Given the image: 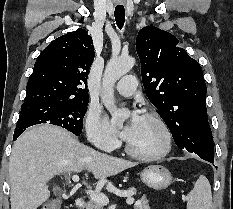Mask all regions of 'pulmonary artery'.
I'll list each match as a JSON object with an SVG mask.
<instances>
[{
	"label": "pulmonary artery",
	"mask_w": 233,
	"mask_h": 209,
	"mask_svg": "<svg viewBox=\"0 0 233 209\" xmlns=\"http://www.w3.org/2000/svg\"><path fill=\"white\" fill-rule=\"evenodd\" d=\"M137 88V79L133 75H126L122 77L115 86V90L122 96H131L135 93Z\"/></svg>",
	"instance_id": "e3ab8cb5"
}]
</instances>
